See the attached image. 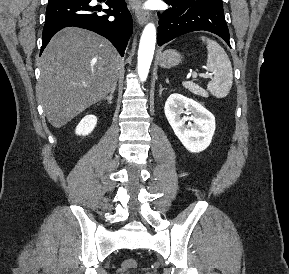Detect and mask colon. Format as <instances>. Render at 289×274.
Here are the masks:
<instances>
[{
    "mask_svg": "<svg viewBox=\"0 0 289 274\" xmlns=\"http://www.w3.org/2000/svg\"><path fill=\"white\" fill-rule=\"evenodd\" d=\"M137 262L134 259H127L123 262L122 267L124 270H131L136 268Z\"/></svg>",
    "mask_w": 289,
    "mask_h": 274,
    "instance_id": "colon-1",
    "label": "colon"
}]
</instances>
